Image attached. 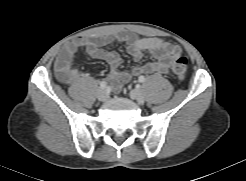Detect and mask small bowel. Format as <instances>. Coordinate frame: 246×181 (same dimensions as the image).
Returning a JSON list of instances; mask_svg holds the SVG:
<instances>
[{
    "label": "small bowel",
    "mask_w": 246,
    "mask_h": 181,
    "mask_svg": "<svg viewBox=\"0 0 246 181\" xmlns=\"http://www.w3.org/2000/svg\"><path fill=\"white\" fill-rule=\"evenodd\" d=\"M118 42L126 43L127 50L135 61H140L145 52L151 53L154 60L134 66L131 72H122L119 70L122 58L114 48ZM80 48H83L88 56L104 60L110 65L111 71L108 80L115 90H119L123 83L129 81L133 76L168 74L171 61L182 54L179 46L163 39L137 38L129 32L106 36L77 37L70 40L56 58L55 71L60 79L72 81L78 78L79 72L72 66V63Z\"/></svg>",
    "instance_id": "c3829d8e"
}]
</instances>
